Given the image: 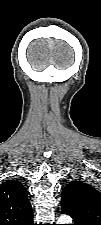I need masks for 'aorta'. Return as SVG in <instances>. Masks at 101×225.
<instances>
[{
  "mask_svg": "<svg viewBox=\"0 0 101 225\" xmlns=\"http://www.w3.org/2000/svg\"><path fill=\"white\" fill-rule=\"evenodd\" d=\"M71 223H72V219L67 215H62L57 220V224H71Z\"/></svg>",
  "mask_w": 101,
  "mask_h": 225,
  "instance_id": "1",
  "label": "aorta"
}]
</instances>
